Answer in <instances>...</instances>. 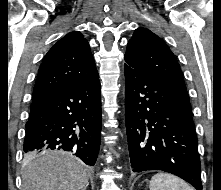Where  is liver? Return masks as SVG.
<instances>
[{
    "instance_id": "liver-1",
    "label": "liver",
    "mask_w": 221,
    "mask_h": 190,
    "mask_svg": "<svg viewBox=\"0 0 221 190\" xmlns=\"http://www.w3.org/2000/svg\"><path fill=\"white\" fill-rule=\"evenodd\" d=\"M53 154V153H52ZM22 190H83L88 175L81 163L68 154L24 158Z\"/></svg>"
}]
</instances>
